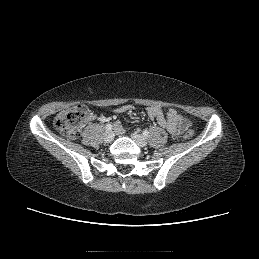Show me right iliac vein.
Listing matches in <instances>:
<instances>
[{
	"instance_id": "1",
	"label": "right iliac vein",
	"mask_w": 259,
	"mask_h": 259,
	"mask_svg": "<svg viewBox=\"0 0 259 259\" xmlns=\"http://www.w3.org/2000/svg\"><path fill=\"white\" fill-rule=\"evenodd\" d=\"M113 139H114V133L112 132V131H106L105 133H104V141L106 142V143H110V142H112L113 141Z\"/></svg>"
}]
</instances>
